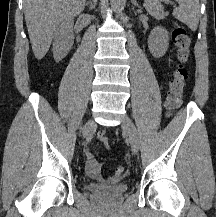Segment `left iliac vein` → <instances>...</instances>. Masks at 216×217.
Segmentation results:
<instances>
[{
    "label": "left iliac vein",
    "instance_id": "1",
    "mask_svg": "<svg viewBox=\"0 0 216 217\" xmlns=\"http://www.w3.org/2000/svg\"><path fill=\"white\" fill-rule=\"evenodd\" d=\"M122 129L125 131V133L129 137V141H130L131 149L133 153L137 154L139 150V144H140L139 135H138V132H137V129L134 123L128 116H125L122 121Z\"/></svg>",
    "mask_w": 216,
    "mask_h": 217
}]
</instances>
